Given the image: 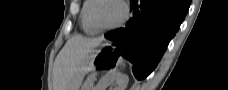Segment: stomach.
<instances>
[{
    "label": "stomach",
    "instance_id": "1",
    "mask_svg": "<svg viewBox=\"0 0 228 90\" xmlns=\"http://www.w3.org/2000/svg\"><path fill=\"white\" fill-rule=\"evenodd\" d=\"M107 46L110 47V44L105 43L101 45L100 49L93 50L86 56L71 78L67 86V90H79L86 74L94 72L100 68L114 67L120 63L121 59L118 57V54L115 52L114 48L110 50L103 49Z\"/></svg>",
    "mask_w": 228,
    "mask_h": 90
}]
</instances>
